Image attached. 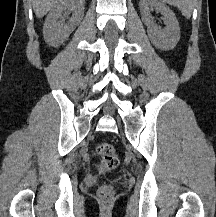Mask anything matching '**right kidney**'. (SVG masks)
Wrapping results in <instances>:
<instances>
[{
	"label": "right kidney",
	"instance_id": "1",
	"mask_svg": "<svg viewBox=\"0 0 216 217\" xmlns=\"http://www.w3.org/2000/svg\"><path fill=\"white\" fill-rule=\"evenodd\" d=\"M84 4L85 0H59L51 9L43 27L44 39L49 45L57 47L68 39L83 19ZM64 12L72 13L67 22L62 18Z\"/></svg>",
	"mask_w": 216,
	"mask_h": 217
}]
</instances>
